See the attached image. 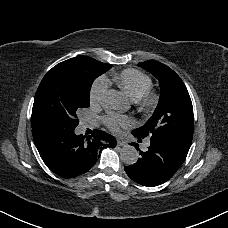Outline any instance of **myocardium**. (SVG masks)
I'll return each instance as SVG.
<instances>
[{"label":"myocardium","instance_id":"1","mask_svg":"<svg viewBox=\"0 0 228 228\" xmlns=\"http://www.w3.org/2000/svg\"><path fill=\"white\" fill-rule=\"evenodd\" d=\"M158 103V96L154 92H146L143 95L132 99L131 110L137 114H149L152 112Z\"/></svg>","mask_w":228,"mask_h":228}]
</instances>
